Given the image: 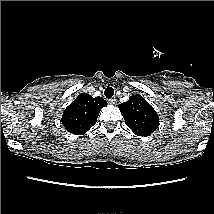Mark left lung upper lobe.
Masks as SVG:
<instances>
[{"label":"left lung upper lobe","instance_id":"1","mask_svg":"<svg viewBox=\"0 0 214 214\" xmlns=\"http://www.w3.org/2000/svg\"><path fill=\"white\" fill-rule=\"evenodd\" d=\"M126 125L137 136H149L159 126V117L154 108L140 95L130 96L119 104Z\"/></svg>","mask_w":214,"mask_h":214}]
</instances>
